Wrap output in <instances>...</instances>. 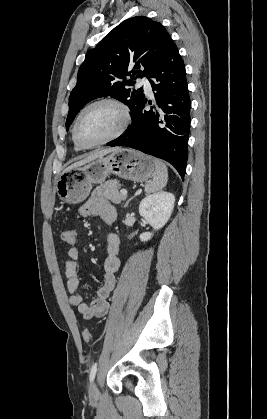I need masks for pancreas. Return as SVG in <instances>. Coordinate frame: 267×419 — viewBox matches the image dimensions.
<instances>
[{
    "mask_svg": "<svg viewBox=\"0 0 267 419\" xmlns=\"http://www.w3.org/2000/svg\"><path fill=\"white\" fill-rule=\"evenodd\" d=\"M120 186L117 180H108L96 187L92 195L108 199L115 204H120L126 198L119 192Z\"/></svg>",
    "mask_w": 267,
    "mask_h": 419,
    "instance_id": "1",
    "label": "pancreas"
}]
</instances>
